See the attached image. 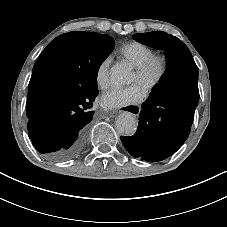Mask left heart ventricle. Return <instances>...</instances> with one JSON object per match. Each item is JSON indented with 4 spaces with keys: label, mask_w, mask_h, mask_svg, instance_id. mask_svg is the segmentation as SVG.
<instances>
[{
    "label": "left heart ventricle",
    "mask_w": 227,
    "mask_h": 227,
    "mask_svg": "<svg viewBox=\"0 0 227 227\" xmlns=\"http://www.w3.org/2000/svg\"><path fill=\"white\" fill-rule=\"evenodd\" d=\"M154 73H156V70H154ZM134 81H135V82H138V79H137L136 75H134ZM134 81H133V82H134Z\"/></svg>",
    "instance_id": "1"
}]
</instances>
